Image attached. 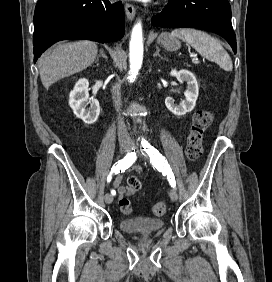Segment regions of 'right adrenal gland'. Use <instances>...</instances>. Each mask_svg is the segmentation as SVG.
<instances>
[{
    "label": "right adrenal gland",
    "instance_id": "1",
    "mask_svg": "<svg viewBox=\"0 0 272 282\" xmlns=\"http://www.w3.org/2000/svg\"><path fill=\"white\" fill-rule=\"evenodd\" d=\"M100 57H103V58H105V59H108L107 56H106V54L104 53V50H103V49H100V53H99V55H98L97 58H96V62L99 61Z\"/></svg>",
    "mask_w": 272,
    "mask_h": 282
}]
</instances>
